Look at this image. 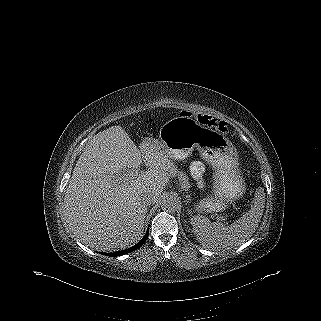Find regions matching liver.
Wrapping results in <instances>:
<instances>
[{
  "label": "liver",
  "instance_id": "obj_1",
  "mask_svg": "<svg viewBox=\"0 0 321 321\" xmlns=\"http://www.w3.org/2000/svg\"><path fill=\"white\" fill-rule=\"evenodd\" d=\"M143 162L149 170L135 174ZM176 172L153 143L137 147L121 126H112L93 136L76 163L64 196L66 221L92 249H125L144 232L142 195L151 193L156 201Z\"/></svg>",
  "mask_w": 321,
  "mask_h": 321
}]
</instances>
